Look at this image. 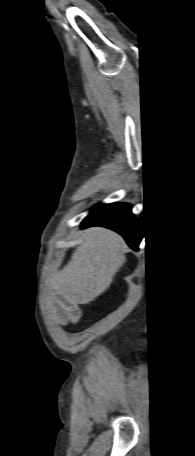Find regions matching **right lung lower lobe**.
I'll list each match as a JSON object with an SVG mask.
<instances>
[{
	"label": "right lung lower lobe",
	"mask_w": 195,
	"mask_h": 456,
	"mask_svg": "<svg viewBox=\"0 0 195 456\" xmlns=\"http://www.w3.org/2000/svg\"><path fill=\"white\" fill-rule=\"evenodd\" d=\"M91 226H104L118 232L133 249H138L141 242L140 222L126 203L96 206L81 223V228Z\"/></svg>",
	"instance_id": "1"
}]
</instances>
